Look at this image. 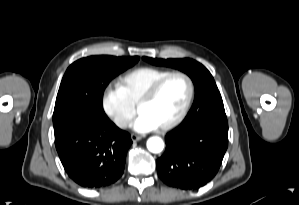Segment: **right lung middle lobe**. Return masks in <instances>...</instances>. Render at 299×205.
<instances>
[{
    "mask_svg": "<svg viewBox=\"0 0 299 205\" xmlns=\"http://www.w3.org/2000/svg\"><path fill=\"white\" fill-rule=\"evenodd\" d=\"M138 60V57L90 56L71 64L57 94L53 113L54 132L81 116L107 117L102 107L106 86Z\"/></svg>",
    "mask_w": 299,
    "mask_h": 205,
    "instance_id": "dd1d6c3e",
    "label": "right lung middle lobe"
}]
</instances>
